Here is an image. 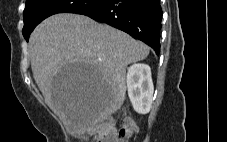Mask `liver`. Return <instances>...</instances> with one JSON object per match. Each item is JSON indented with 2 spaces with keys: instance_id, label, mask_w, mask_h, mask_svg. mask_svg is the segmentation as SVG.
I'll list each match as a JSON object with an SVG mask.
<instances>
[{
  "instance_id": "1",
  "label": "liver",
  "mask_w": 227,
  "mask_h": 142,
  "mask_svg": "<svg viewBox=\"0 0 227 142\" xmlns=\"http://www.w3.org/2000/svg\"><path fill=\"white\" fill-rule=\"evenodd\" d=\"M150 48L106 24L79 14L62 13L41 22L29 42L34 79L46 103L72 133L91 132L96 124L117 111L126 96L129 64L144 60ZM63 61H90L101 78L94 88H61L53 81Z\"/></svg>"
}]
</instances>
